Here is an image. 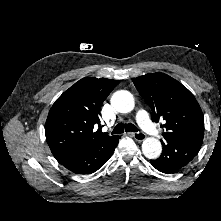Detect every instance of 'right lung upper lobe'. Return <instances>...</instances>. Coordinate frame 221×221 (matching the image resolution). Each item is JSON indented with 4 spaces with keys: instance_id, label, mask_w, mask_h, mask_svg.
Segmentation results:
<instances>
[{
    "instance_id": "cb5924a9",
    "label": "right lung upper lobe",
    "mask_w": 221,
    "mask_h": 221,
    "mask_svg": "<svg viewBox=\"0 0 221 221\" xmlns=\"http://www.w3.org/2000/svg\"><path fill=\"white\" fill-rule=\"evenodd\" d=\"M118 83L106 78H83L55 101L45 124V135L56 158L98 147L118 137L100 130V107Z\"/></svg>"
}]
</instances>
